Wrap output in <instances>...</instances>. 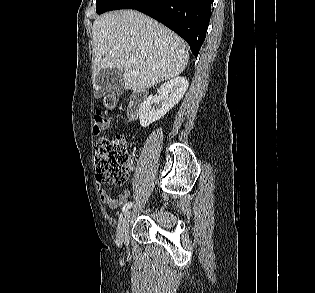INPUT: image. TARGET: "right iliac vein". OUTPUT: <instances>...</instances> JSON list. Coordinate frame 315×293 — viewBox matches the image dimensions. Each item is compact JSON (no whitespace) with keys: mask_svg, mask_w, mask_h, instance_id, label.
I'll return each mask as SVG.
<instances>
[{"mask_svg":"<svg viewBox=\"0 0 315 293\" xmlns=\"http://www.w3.org/2000/svg\"><path fill=\"white\" fill-rule=\"evenodd\" d=\"M130 211H126L119 219L117 235L118 239L121 243L128 242V229H129V221H130Z\"/></svg>","mask_w":315,"mask_h":293,"instance_id":"1","label":"right iliac vein"}]
</instances>
